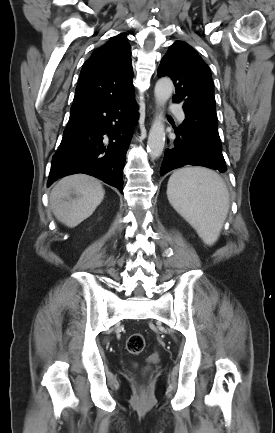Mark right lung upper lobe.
I'll use <instances>...</instances> for the list:
<instances>
[{"label":"right lung upper lobe","mask_w":275,"mask_h":433,"mask_svg":"<svg viewBox=\"0 0 275 433\" xmlns=\"http://www.w3.org/2000/svg\"><path fill=\"white\" fill-rule=\"evenodd\" d=\"M131 46L121 33L96 49L85 62L76 87L71 112L98 101L134 94Z\"/></svg>","instance_id":"cb5924a9"}]
</instances>
